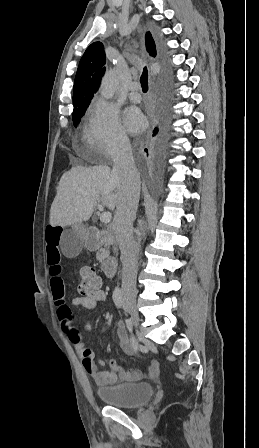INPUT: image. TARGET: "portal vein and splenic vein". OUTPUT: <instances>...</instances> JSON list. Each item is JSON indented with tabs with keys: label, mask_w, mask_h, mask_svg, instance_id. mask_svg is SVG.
Masks as SVG:
<instances>
[{
	"label": "portal vein and splenic vein",
	"mask_w": 259,
	"mask_h": 448,
	"mask_svg": "<svg viewBox=\"0 0 259 448\" xmlns=\"http://www.w3.org/2000/svg\"><path fill=\"white\" fill-rule=\"evenodd\" d=\"M112 220V214L110 212H102L100 214V222H103V224H109Z\"/></svg>",
	"instance_id": "obj_1"
}]
</instances>
